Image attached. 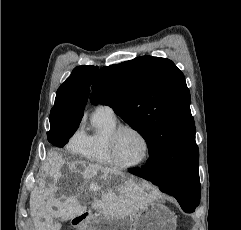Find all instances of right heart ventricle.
Returning a JSON list of instances; mask_svg holds the SVG:
<instances>
[{"label": "right heart ventricle", "instance_id": "right-heart-ventricle-1", "mask_svg": "<svg viewBox=\"0 0 241 230\" xmlns=\"http://www.w3.org/2000/svg\"><path fill=\"white\" fill-rule=\"evenodd\" d=\"M92 130L85 134L82 148L77 152L89 162L103 165H114L107 150V139L110 132L118 125L114 113L96 110L91 119Z\"/></svg>", "mask_w": 241, "mask_h": 230}]
</instances>
